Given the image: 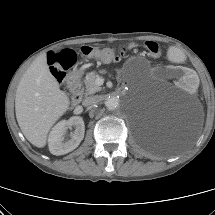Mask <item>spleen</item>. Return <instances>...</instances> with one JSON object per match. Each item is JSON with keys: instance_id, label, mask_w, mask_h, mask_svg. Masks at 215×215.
Here are the masks:
<instances>
[{"instance_id": "obj_1", "label": "spleen", "mask_w": 215, "mask_h": 215, "mask_svg": "<svg viewBox=\"0 0 215 215\" xmlns=\"http://www.w3.org/2000/svg\"><path fill=\"white\" fill-rule=\"evenodd\" d=\"M185 57V52L181 48H170L169 59L175 62L181 61Z\"/></svg>"}]
</instances>
